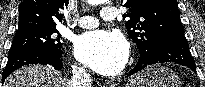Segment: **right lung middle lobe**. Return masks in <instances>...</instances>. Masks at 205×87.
I'll use <instances>...</instances> for the list:
<instances>
[{
    "label": "right lung middle lobe",
    "mask_w": 205,
    "mask_h": 87,
    "mask_svg": "<svg viewBox=\"0 0 205 87\" xmlns=\"http://www.w3.org/2000/svg\"><path fill=\"white\" fill-rule=\"evenodd\" d=\"M61 35L56 28L34 29L16 32L11 49L34 48L60 55Z\"/></svg>",
    "instance_id": "dd1d6c3e"
}]
</instances>
